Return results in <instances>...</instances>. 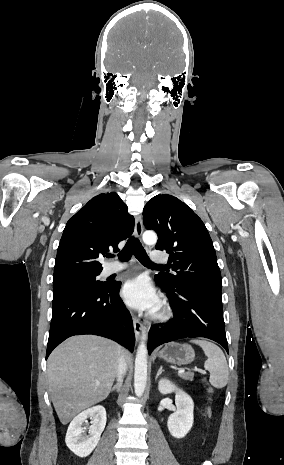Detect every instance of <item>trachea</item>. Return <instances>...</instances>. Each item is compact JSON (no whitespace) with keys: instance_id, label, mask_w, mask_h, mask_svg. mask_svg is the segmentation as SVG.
<instances>
[{"instance_id":"obj_1","label":"trachea","mask_w":284,"mask_h":465,"mask_svg":"<svg viewBox=\"0 0 284 465\" xmlns=\"http://www.w3.org/2000/svg\"><path fill=\"white\" fill-rule=\"evenodd\" d=\"M133 254L139 260V262L143 263V265L156 268V269H160V270H167V271L169 270V267L167 265H157L151 262V260L149 259L147 253L145 252L139 240L132 236L127 241L123 250L119 252L118 258L119 260L123 262H128ZM111 256L112 255H110L108 258H110Z\"/></svg>"}]
</instances>
